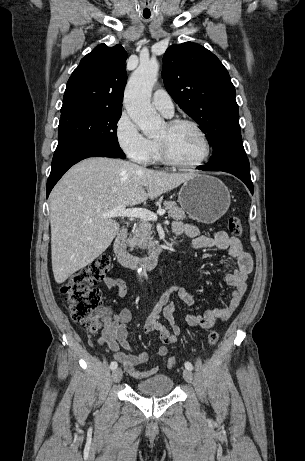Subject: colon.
<instances>
[{"label": "colon", "instance_id": "colon-1", "mask_svg": "<svg viewBox=\"0 0 305 461\" xmlns=\"http://www.w3.org/2000/svg\"><path fill=\"white\" fill-rule=\"evenodd\" d=\"M229 231L234 235H241L242 224L237 217L228 219ZM110 257L100 255L81 270L71 274L62 284L61 292L65 297L72 319L85 330L95 333L102 327L101 316L104 315L102 295L99 288L95 287L98 281L105 278L110 268ZM219 339L217 331H211L208 335V343L214 345ZM176 359L170 357L167 367L174 368Z\"/></svg>", "mask_w": 305, "mask_h": 461}]
</instances>
